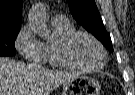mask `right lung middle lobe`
Instances as JSON below:
<instances>
[{"instance_id":"obj_1","label":"right lung middle lobe","mask_w":135,"mask_h":95,"mask_svg":"<svg viewBox=\"0 0 135 95\" xmlns=\"http://www.w3.org/2000/svg\"><path fill=\"white\" fill-rule=\"evenodd\" d=\"M19 33L13 31L9 33H0V56H14L15 55V40Z\"/></svg>"}]
</instances>
